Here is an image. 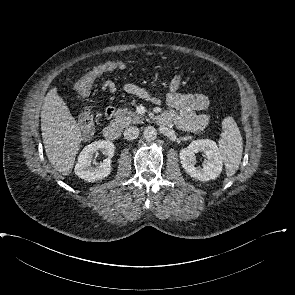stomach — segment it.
<instances>
[{"mask_svg":"<svg viewBox=\"0 0 295 295\" xmlns=\"http://www.w3.org/2000/svg\"><path fill=\"white\" fill-rule=\"evenodd\" d=\"M154 79H155V81L158 79V76L156 75L155 77H154Z\"/></svg>","mask_w":295,"mask_h":295,"instance_id":"obj_1","label":"stomach"}]
</instances>
